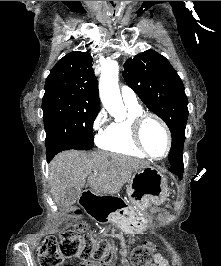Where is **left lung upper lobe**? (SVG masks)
Masks as SVG:
<instances>
[{"label": "left lung upper lobe", "mask_w": 221, "mask_h": 266, "mask_svg": "<svg viewBox=\"0 0 221 266\" xmlns=\"http://www.w3.org/2000/svg\"><path fill=\"white\" fill-rule=\"evenodd\" d=\"M123 77L143 103L169 127L170 164L181 161L188 108L184 85L175 69L164 56L147 50L125 62Z\"/></svg>", "instance_id": "1"}]
</instances>
